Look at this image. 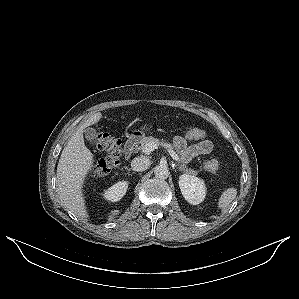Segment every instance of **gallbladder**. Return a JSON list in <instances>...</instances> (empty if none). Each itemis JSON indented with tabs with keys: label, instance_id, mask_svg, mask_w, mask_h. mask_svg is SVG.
Here are the masks:
<instances>
[{
	"label": "gallbladder",
	"instance_id": "gallbladder-1",
	"mask_svg": "<svg viewBox=\"0 0 299 299\" xmlns=\"http://www.w3.org/2000/svg\"><path fill=\"white\" fill-rule=\"evenodd\" d=\"M84 136L89 144H93L97 137L95 129L91 127H88L84 130Z\"/></svg>",
	"mask_w": 299,
	"mask_h": 299
}]
</instances>
